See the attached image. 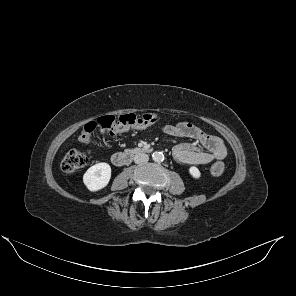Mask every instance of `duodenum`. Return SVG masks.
I'll return each instance as SVG.
<instances>
[{"label": "duodenum", "mask_w": 296, "mask_h": 296, "mask_svg": "<svg viewBox=\"0 0 296 296\" xmlns=\"http://www.w3.org/2000/svg\"><path fill=\"white\" fill-rule=\"evenodd\" d=\"M152 151L150 147L139 148L136 150L126 151V152H117L112 156V162L115 166L122 167L129 164L135 155L140 153H149Z\"/></svg>", "instance_id": "duodenum-1"}]
</instances>
